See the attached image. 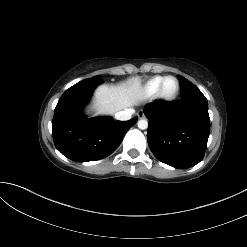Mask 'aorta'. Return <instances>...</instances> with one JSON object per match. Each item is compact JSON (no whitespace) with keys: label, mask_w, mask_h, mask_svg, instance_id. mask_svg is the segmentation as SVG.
I'll use <instances>...</instances> for the list:
<instances>
[{"label":"aorta","mask_w":247,"mask_h":247,"mask_svg":"<svg viewBox=\"0 0 247 247\" xmlns=\"http://www.w3.org/2000/svg\"><path fill=\"white\" fill-rule=\"evenodd\" d=\"M137 125L139 129L145 130L148 128V121L145 119H141L138 121Z\"/></svg>","instance_id":"1"}]
</instances>
